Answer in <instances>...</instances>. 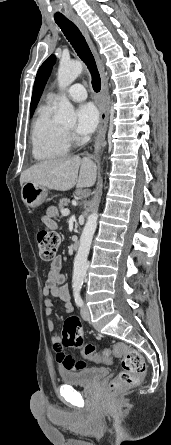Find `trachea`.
<instances>
[{
    "mask_svg": "<svg viewBox=\"0 0 171 445\" xmlns=\"http://www.w3.org/2000/svg\"><path fill=\"white\" fill-rule=\"evenodd\" d=\"M57 25L61 28L66 39L70 42L80 59L86 64L92 77V87L95 92L101 89V78L98 72L95 59L90 48L78 29V27L68 19L56 20Z\"/></svg>",
    "mask_w": 171,
    "mask_h": 445,
    "instance_id": "trachea-1",
    "label": "trachea"
}]
</instances>
